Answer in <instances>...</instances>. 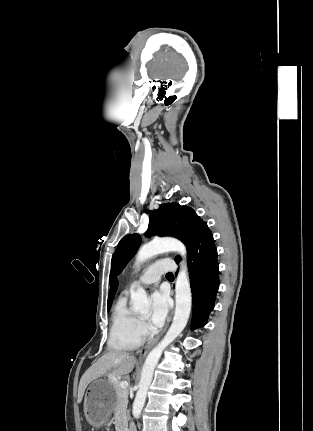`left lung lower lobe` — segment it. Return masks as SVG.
<instances>
[{
    "label": "left lung lower lobe",
    "instance_id": "0a47b994",
    "mask_svg": "<svg viewBox=\"0 0 313 431\" xmlns=\"http://www.w3.org/2000/svg\"><path fill=\"white\" fill-rule=\"evenodd\" d=\"M188 271L193 302L191 328L196 329L207 323L219 288L217 249L208 226L188 255Z\"/></svg>",
    "mask_w": 313,
    "mask_h": 431
}]
</instances>
